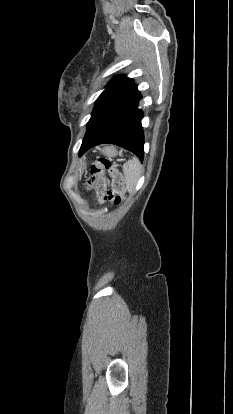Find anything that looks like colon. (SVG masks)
Masks as SVG:
<instances>
[{"instance_id": "colon-1", "label": "colon", "mask_w": 233, "mask_h": 414, "mask_svg": "<svg viewBox=\"0 0 233 414\" xmlns=\"http://www.w3.org/2000/svg\"><path fill=\"white\" fill-rule=\"evenodd\" d=\"M105 173H109L112 178V192H106L104 190L103 177ZM90 185L97 188L98 198L101 202L113 199V194L118 196L116 198V202H119L125 191V184L122 174L109 160L103 158L96 160L91 166Z\"/></svg>"}]
</instances>
